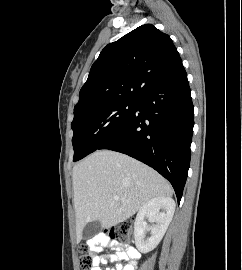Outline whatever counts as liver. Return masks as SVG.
I'll return each instance as SVG.
<instances>
[{
    "instance_id": "obj_1",
    "label": "liver",
    "mask_w": 242,
    "mask_h": 270,
    "mask_svg": "<svg viewBox=\"0 0 242 270\" xmlns=\"http://www.w3.org/2000/svg\"><path fill=\"white\" fill-rule=\"evenodd\" d=\"M76 236L98 220L103 228L115 226L134 215L155 197H170L171 185L155 170L136 159L111 150H98L72 170ZM118 195L125 200H115Z\"/></svg>"
}]
</instances>
